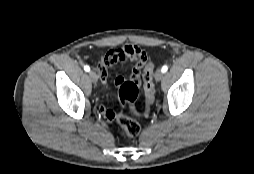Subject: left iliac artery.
<instances>
[{
	"instance_id": "44dca946",
	"label": "left iliac artery",
	"mask_w": 254,
	"mask_h": 174,
	"mask_svg": "<svg viewBox=\"0 0 254 174\" xmlns=\"http://www.w3.org/2000/svg\"><path fill=\"white\" fill-rule=\"evenodd\" d=\"M167 70H168V67H167L166 65H164V66L162 67V69H161V71H162L163 73L167 72Z\"/></svg>"
}]
</instances>
